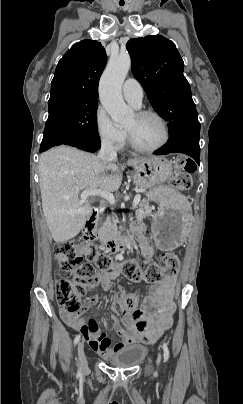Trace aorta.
<instances>
[{"instance_id": "1", "label": "aorta", "mask_w": 243, "mask_h": 404, "mask_svg": "<svg viewBox=\"0 0 243 404\" xmlns=\"http://www.w3.org/2000/svg\"><path fill=\"white\" fill-rule=\"evenodd\" d=\"M130 66L129 54H120L116 58L110 56L99 84L100 102L116 126H124L134 116L132 108L126 106L122 96V84Z\"/></svg>"}]
</instances>
